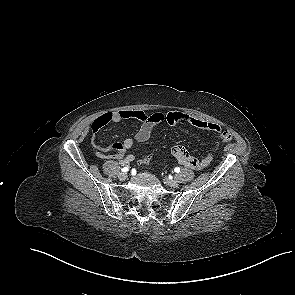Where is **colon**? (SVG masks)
I'll list each match as a JSON object with an SVG mask.
<instances>
[{"mask_svg":"<svg viewBox=\"0 0 295 295\" xmlns=\"http://www.w3.org/2000/svg\"><path fill=\"white\" fill-rule=\"evenodd\" d=\"M150 161H151V156H150V155H147V156L143 157V158L139 161V163H140L141 165H147V164L150 163Z\"/></svg>","mask_w":295,"mask_h":295,"instance_id":"5ec220e1","label":"colon"}]
</instances>
